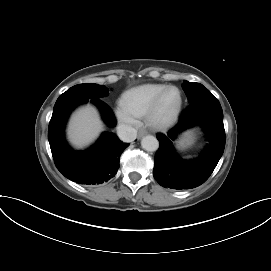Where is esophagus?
<instances>
[{
	"instance_id": "1",
	"label": "esophagus",
	"mask_w": 271,
	"mask_h": 271,
	"mask_svg": "<svg viewBox=\"0 0 271 271\" xmlns=\"http://www.w3.org/2000/svg\"><path fill=\"white\" fill-rule=\"evenodd\" d=\"M147 133H148L147 130L141 129V130H139L138 137L140 138V137L146 135Z\"/></svg>"
}]
</instances>
